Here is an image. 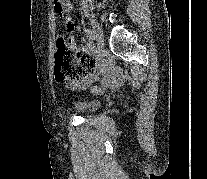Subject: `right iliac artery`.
Returning <instances> with one entry per match:
<instances>
[{"mask_svg":"<svg viewBox=\"0 0 207 179\" xmlns=\"http://www.w3.org/2000/svg\"><path fill=\"white\" fill-rule=\"evenodd\" d=\"M85 33H86V36L89 40H91V41L95 40L94 33L91 29L85 28Z\"/></svg>","mask_w":207,"mask_h":179,"instance_id":"1","label":"right iliac artery"}]
</instances>
